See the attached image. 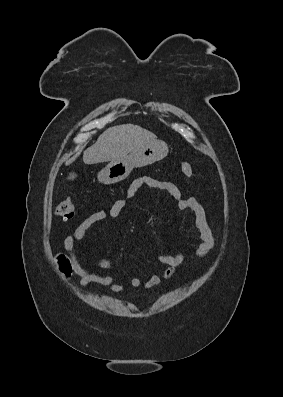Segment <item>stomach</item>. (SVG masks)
<instances>
[{
    "label": "stomach",
    "mask_w": 283,
    "mask_h": 397,
    "mask_svg": "<svg viewBox=\"0 0 283 397\" xmlns=\"http://www.w3.org/2000/svg\"><path fill=\"white\" fill-rule=\"evenodd\" d=\"M165 142L156 140L137 146L128 156L112 160L98 173V180L104 184H113L124 180L134 167H144L160 161L168 154Z\"/></svg>",
    "instance_id": "obj_1"
}]
</instances>
